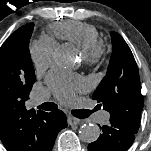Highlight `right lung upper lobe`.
I'll return each instance as SVG.
<instances>
[{
  "label": "right lung upper lobe",
  "instance_id": "1",
  "mask_svg": "<svg viewBox=\"0 0 151 151\" xmlns=\"http://www.w3.org/2000/svg\"><path fill=\"white\" fill-rule=\"evenodd\" d=\"M30 91L0 93V139L7 151L48 150V113L25 107Z\"/></svg>",
  "mask_w": 151,
  "mask_h": 151
}]
</instances>
